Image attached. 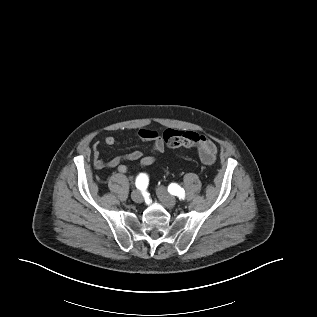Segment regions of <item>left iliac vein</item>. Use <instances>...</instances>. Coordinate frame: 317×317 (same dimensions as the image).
<instances>
[{
    "instance_id": "4c4485c4",
    "label": "left iliac vein",
    "mask_w": 317,
    "mask_h": 317,
    "mask_svg": "<svg viewBox=\"0 0 317 317\" xmlns=\"http://www.w3.org/2000/svg\"><path fill=\"white\" fill-rule=\"evenodd\" d=\"M156 194L161 201V203L166 207V208H173L176 204V199L174 196L169 194L167 189L164 186H159L156 189Z\"/></svg>"
}]
</instances>
